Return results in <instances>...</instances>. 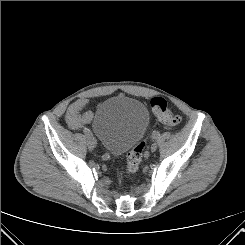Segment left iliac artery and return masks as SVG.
<instances>
[{"label":"left iliac artery","mask_w":245,"mask_h":245,"mask_svg":"<svg viewBox=\"0 0 245 245\" xmlns=\"http://www.w3.org/2000/svg\"><path fill=\"white\" fill-rule=\"evenodd\" d=\"M158 136H159V133H158V132L154 131V132L152 133V139H157Z\"/></svg>","instance_id":"obj_1"}]
</instances>
